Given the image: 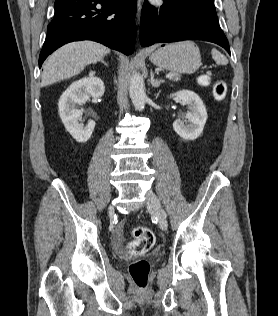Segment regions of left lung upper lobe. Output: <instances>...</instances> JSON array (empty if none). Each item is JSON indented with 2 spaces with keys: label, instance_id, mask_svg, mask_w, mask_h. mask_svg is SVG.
Instances as JSON below:
<instances>
[{
  "label": "left lung upper lobe",
  "instance_id": "5c2ea615",
  "mask_svg": "<svg viewBox=\"0 0 278 316\" xmlns=\"http://www.w3.org/2000/svg\"><path fill=\"white\" fill-rule=\"evenodd\" d=\"M177 6L202 13L218 21L214 0H169Z\"/></svg>",
  "mask_w": 278,
  "mask_h": 316
}]
</instances>
